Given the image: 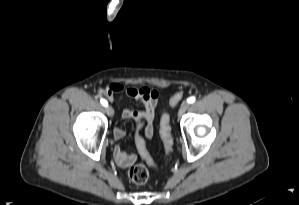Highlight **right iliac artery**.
I'll return each mask as SVG.
<instances>
[{
	"label": "right iliac artery",
	"mask_w": 299,
	"mask_h": 205,
	"mask_svg": "<svg viewBox=\"0 0 299 205\" xmlns=\"http://www.w3.org/2000/svg\"><path fill=\"white\" fill-rule=\"evenodd\" d=\"M100 102H101V104H102L103 106H105V107L108 106V102H107L105 99L101 98V99H100Z\"/></svg>",
	"instance_id": "1"
}]
</instances>
